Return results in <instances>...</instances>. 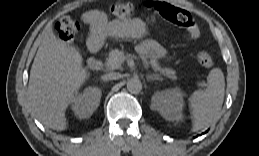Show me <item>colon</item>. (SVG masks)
<instances>
[{
    "mask_svg": "<svg viewBox=\"0 0 259 156\" xmlns=\"http://www.w3.org/2000/svg\"><path fill=\"white\" fill-rule=\"evenodd\" d=\"M154 9L164 20L187 30L191 38L197 39L200 36L198 24L190 12L167 3H156ZM109 10L117 17L130 18L135 13L136 8L133 4L124 2L111 5ZM55 28L63 41L71 42L77 35L80 26L72 16L67 15L56 23ZM197 59L205 68H211L214 64L207 51H200Z\"/></svg>",
    "mask_w": 259,
    "mask_h": 156,
    "instance_id": "1",
    "label": "colon"
}]
</instances>
